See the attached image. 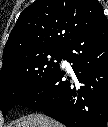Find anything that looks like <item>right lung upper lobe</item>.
Instances as JSON below:
<instances>
[{
    "mask_svg": "<svg viewBox=\"0 0 108 127\" xmlns=\"http://www.w3.org/2000/svg\"><path fill=\"white\" fill-rule=\"evenodd\" d=\"M106 17L97 0H36L20 14L3 52V65L25 54L65 50Z\"/></svg>",
    "mask_w": 108,
    "mask_h": 127,
    "instance_id": "cb5924a9",
    "label": "right lung upper lobe"
}]
</instances>
